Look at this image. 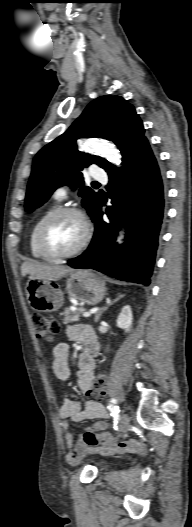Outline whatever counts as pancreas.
<instances>
[{
  "label": "pancreas",
  "mask_w": 192,
  "mask_h": 527,
  "mask_svg": "<svg viewBox=\"0 0 192 527\" xmlns=\"http://www.w3.org/2000/svg\"><path fill=\"white\" fill-rule=\"evenodd\" d=\"M85 311L84 308H79L77 310H71L66 308L63 312L64 315V323H72L77 322L80 319V315Z\"/></svg>",
  "instance_id": "cf45deb5"
}]
</instances>
